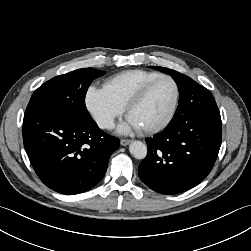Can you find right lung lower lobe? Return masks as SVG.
Instances as JSON below:
<instances>
[{
  "mask_svg": "<svg viewBox=\"0 0 251 251\" xmlns=\"http://www.w3.org/2000/svg\"><path fill=\"white\" fill-rule=\"evenodd\" d=\"M23 142L40 180L52 190L78 194L104 176L118 138L103 132L93 119L76 121L38 106H27Z\"/></svg>",
  "mask_w": 251,
  "mask_h": 251,
  "instance_id": "right-lung-lower-lobe-1",
  "label": "right lung lower lobe"
}]
</instances>
